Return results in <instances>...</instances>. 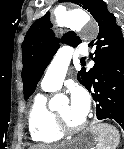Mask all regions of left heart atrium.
<instances>
[{"label":"left heart atrium","mask_w":124,"mask_h":149,"mask_svg":"<svg viewBox=\"0 0 124 149\" xmlns=\"http://www.w3.org/2000/svg\"><path fill=\"white\" fill-rule=\"evenodd\" d=\"M70 108L72 114L75 116L85 119L88 115L90 98L82 87H75L71 90Z\"/></svg>","instance_id":"obj_1"}]
</instances>
